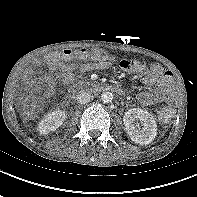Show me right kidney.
<instances>
[{"label": "right kidney", "mask_w": 197, "mask_h": 197, "mask_svg": "<svg viewBox=\"0 0 197 197\" xmlns=\"http://www.w3.org/2000/svg\"><path fill=\"white\" fill-rule=\"evenodd\" d=\"M67 115L65 110H55L48 113L39 123L38 130L41 134H48L59 128L65 121Z\"/></svg>", "instance_id": "1"}]
</instances>
